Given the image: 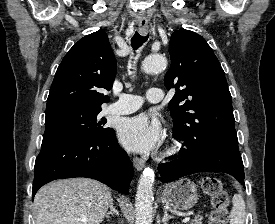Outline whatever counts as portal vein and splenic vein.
I'll return each mask as SVG.
<instances>
[{
  "mask_svg": "<svg viewBox=\"0 0 275 224\" xmlns=\"http://www.w3.org/2000/svg\"><path fill=\"white\" fill-rule=\"evenodd\" d=\"M189 221H190V217H189V216L185 217V218L182 220L183 223H187V222H189Z\"/></svg>",
  "mask_w": 275,
  "mask_h": 224,
  "instance_id": "18ae733b",
  "label": "portal vein and splenic vein"
}]
</instances>
